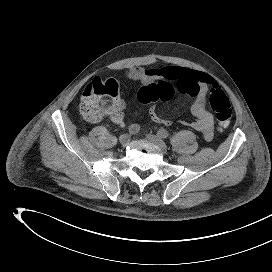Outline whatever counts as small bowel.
Segmentation results:
<instances>
[{
    "label": "small bowel",
    "instance_id": "1",
    "mask_svg": "<svg viewBox=\"0 0 272 272\" xmlns=\"http://www.w3.org/2000/svg\"><path fill=\"white\" fill-rule=\"evenodd\" d=\"M129 79L140 82L144 85L157 80H164L174 84L176 90L187 94L193 98L190 111L194 120L186 122L180 120L179 123L189 125L191 128L201 133L206 141H211L214 135L213 117L206 108V94L212 85V77L206 73L184 68V67H164L159 69H144L133 67L126 72ZM127 105L126 102L118 98L113 110L108 114L116 124L123 123V112ZM152 121L166 126L172 125L173 121L161 118L155 106L149 109Z\"/></svg>",
    "mask_w": 272,
    "mask_h": 272
}]
</instances>
